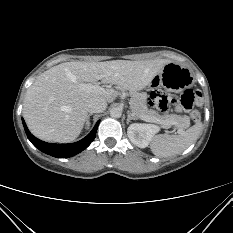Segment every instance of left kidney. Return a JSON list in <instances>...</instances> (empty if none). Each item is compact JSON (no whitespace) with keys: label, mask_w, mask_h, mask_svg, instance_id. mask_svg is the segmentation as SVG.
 Listing matches in <instances>:
<instances>
[{"label":"left kidney","mask_w":233,"mask_h":233,"mask_svg":"<svg viewBox=\"0 0 233 233\" xmlns=\"http://www.w3.org/2000/svg\"><path fill=\"white\" fill-rule=\"evenodd\" d=\"M158 131L159 127L153 124L133 123L128 127L127 134L134 145L145 148Z\"/></svg>","instance_id":"5707ae66"}]
</instances>
